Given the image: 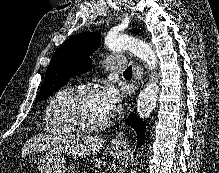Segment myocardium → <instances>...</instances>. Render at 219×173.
<instances>
[{
    "instance_id": "myocardium-1",
    "label": "myocardium",
    "mask_w": 219,
    "mask_h": 173,
    "mask_svg": "<svg viewBox=\"0 0 219 173\" xmlns=\"http://www.w3.org/2000/svg\"><path fill=\"white\" fill-rule=\"evenodd\" d=\"M97 93V90L92 86H83L74 89L63 101L61 105V117L65 125L74 133L77 134H93L105 129L109 122L110 116H107L101 123L94 126H84L79 123L74 114V106L78 100L86 95Z\"/></svg>"
}]
</instances>
